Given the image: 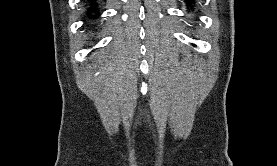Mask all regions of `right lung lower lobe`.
Here are the masks:
<instances>
[{
    "mask_svg": "<svg viewBox=\"0 0 277 166\" xmlns=\"http://www.w3.org/2000/svg\"><path fill=\"white\" fill-rule=\"evenodd\" d=\"M86 6L85 19L90 23H94L100 15L96 0H86Z\"/></svg>",
    "mask_w": 277,
    "mask_h": 166,
    "instance_id": "obj_1",
    "label": "right lung lower lobe"
}]
</instances>
